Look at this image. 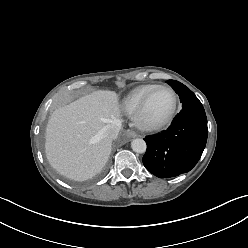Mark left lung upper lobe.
I'll return each instance as SVG.
<instances>
[{
    "label": "left lung upper lobe",
    "mask_w": 248,
    "mask_h": 248,
    "mask_svg": "<svg viewBox=\"0 0 248 248\" xmlns=\"http://www.w3.org/2000/svg\"><path fill=\"white\" fill-rule=\"evenodd\" d=\"M167 83L174 89L176 93L180 96V100L182 102V107L187 106L193 103L196 99H198L195 94L182 83L175 80H168Z\"/></svg>",
    "instance_id": "obj_1"
}]
</instances>
